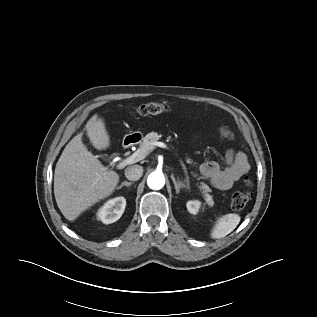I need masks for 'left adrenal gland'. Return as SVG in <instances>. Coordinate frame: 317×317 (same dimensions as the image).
<instances>
[{
	"label": "left adrenal gland",
	"instance_id": "left-adrenal-gland-1",
	"mask_svg": "<svg viewBox=\"0 0 317 317\" xmlns=\"http://www.w3.org/2000/svg\"><path fill=\"white\" fill-rule=\"evenodd\" d=\"M171 179H172V181H173V183H174L175 190H176V193H177V194L180 193V189H182V188L189 189V187L186 186V185H185L182 181H180L179 179H178V181H176L173 174L171 175ZM185 182H186V180H185Z\"/></svg>",
	"mask_w": 317,
	"mask_h": 317
}]
</instances>
